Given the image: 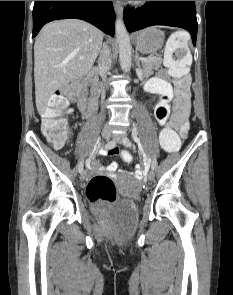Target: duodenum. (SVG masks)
I'll list each match as a JSON object with an SVG mask.
<instances>
[{"label": "duodenum", "instance_id": "obj_1", "mask_svg": "<svg viewBox=\"0 0 233 295\" xmlns=\"http://www.w3.org/2000/svg\"><path fill=\"white\" fill-rule=\"evenodd\" d=\"M97 70L90 71L85 77L84 90L79 98L78 106L82 113L91 114L98 103Z\"/></svg>", "mask_w": 233, "mask_h": 295}]
</instances>
